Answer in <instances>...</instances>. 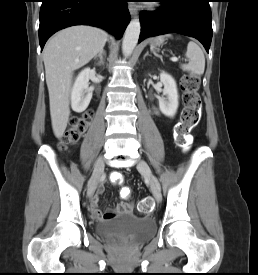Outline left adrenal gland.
Wrapping results in <instances>:
<instances>
[{
    "mask_svg": "<svg viewBox=\"0 0 258 275\" xmlns=\"http://www.w3.org/2000/svg\"><path fill=\"white\" fill-rule=\"evenodd\" d=\"M148 55H149V53H148V51H147L143 58L145 59V57L148 56Z\"/></svg>",
    "mask_w": 258,
    "mask_h": 275,
    "instance_id": "1",
    "label": "left adrenal gland"
}]
</instances>
